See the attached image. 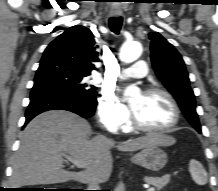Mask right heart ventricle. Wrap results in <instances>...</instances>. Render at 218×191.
<instances>
[{
    "label": "right heart ventricle",
    "mask_w": 218,
    "mask_h": 191,
    "mask_svg": "<svg viewBox=\"0 0 218 191\" xmlns=\"http://www.w3.org/2000/svg\"><path fill=\"white\" fill-rule=\"evenodd\" d=\"M125 129H129L128 126H126Z\"/></svg>",
    "instance_id": "right-heart-ventricle-1"
}]
</instances>
